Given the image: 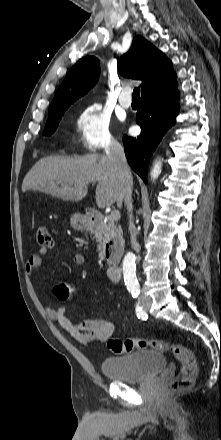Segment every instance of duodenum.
Listing matches in <instances>:
<instances>
[{"mask_svg":"<svg viewBox=\"0 0 221 440\" xmlns=\"http://www.w3.org/2000/svg\"><path fill=\"white\" fill-rule=\"evenodd\" d=\"M88 223L91 227H96L102 222V216L100 214L94 213L93 211L87 212ZM108 277L114 281H120L122 277V269L115 263H112L107 269Z\"/></svg>","mask_w":221,"mask_h":440,"instance_id":"duodenum-1","label":"duodenum"}]
</instances>
